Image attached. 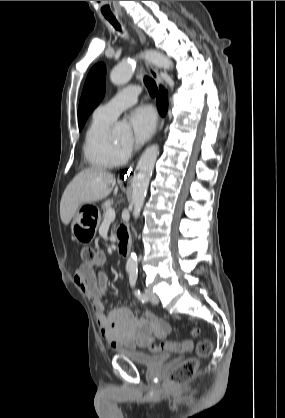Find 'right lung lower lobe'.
Instances as JSON below:
<instances>
[{"label":"right lung lower lobe","instance_id":"1","mask_svg":"<svg viewBox=\"0 0 285 418\" xmlns=\"http://www.w3.org/2000/svg\"><path fill=\"white\" fill-rule=\"evenodd\" d=\"M157 104L159 106V112L161 115H165L168 108L167 92L161 87L158 97Z\"/></svg>","mask_w":285,"mask_h":418}]
</instances>
